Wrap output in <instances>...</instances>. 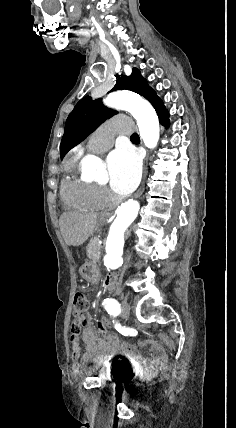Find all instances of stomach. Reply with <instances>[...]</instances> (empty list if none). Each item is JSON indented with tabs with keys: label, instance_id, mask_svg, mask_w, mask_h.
<instances>
[{
	"label": "stomach",
	"instance_id": "1",
	"mask_svg": "<svg viewBox=\"0 0 236 428\" xmlns=\"http://www.w3.org/2000/svg\"><path fill=\"white\" fill-rule=\"evenodd\" d=\"M79 278L84 279L85 283H90L93 287L98 286L101 282V272L98 264H93L90 260L85 261L84 266L79 271Z\"/></svg>",
	"mask_w": 236,
	"mask_h": 428
}]
</instances>
